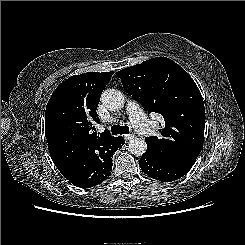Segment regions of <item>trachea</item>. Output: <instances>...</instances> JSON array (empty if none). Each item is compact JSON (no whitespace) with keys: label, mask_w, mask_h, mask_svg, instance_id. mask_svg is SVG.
Wrapping results in <instances>:
<instances>
[{"label":"trachea","mask_w":245,"mask_h":245,"mask_svg":"<svg viewBox=\"0 0 245 245\" xmlns=\"http://www.w3.org/2000/svg\"><path fill=\"white\" fill-rule=\"evenodd\" d=\"M111 132L113 135L128 134L129 133V127L128 126H121V125H113L111 127Z\"/></svg>","instance_id":"1"}]
</instances>
